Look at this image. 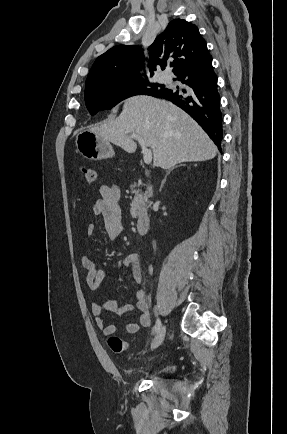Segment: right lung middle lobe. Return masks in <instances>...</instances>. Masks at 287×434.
Instances as JSON below:
<instances>
[{"label":"right lung middle lobe","mask_w":287,"mask_h":434,"mask_svg":"<svg viewBox=\"0 0 287 434\" xmlns=\"http://www.w3.org/2000/svg\"><path fill=\"white\" fill-rule=\"evenodd\" d=\"M162 88V85L137 77L99 81L85 86V103L91 115H94L99 110L110 109L128 97L150 95Z\"/></svg>","instance_id":"1"}]
</instances>
